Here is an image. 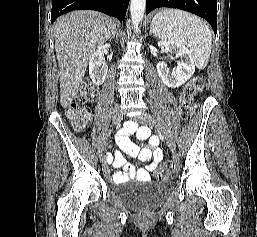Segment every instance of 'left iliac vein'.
<instances>
[{
	"instance_id": "obj_1",
	"label": "left iliac vein",
	"mask_w": 257,
	"mask_h": 237,
	"mask_svg": "<svg viewBox=\"0 0 257 237\" xmlns=\"http://www.w3.org/2000/svg\"><path fill=\"white\" fill-rule=\"evenodd\" d=\"M139 123L149 125V126H155L158 127V129L161 131V134L166 141L167 146L171 151L175 150V141L173 137L162 129V127L159 124H156L155 121L152 119V117L147 113H141L139 116L135 118Z\"/></svg>"
}]
</instances>
